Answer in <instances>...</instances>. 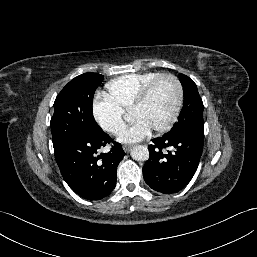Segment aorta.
<instances>
[{"instance_id":"1","label":"aorta","mask_w":257,"mask_h":257,"mask_svg":"<svg viewBox=\"0 0 257 257\" xmlns=\"http://www.w3.org/2000/svg\"><path fill=\"white\" fill-rule=\"evenodd\" d=\"M131 157L136 161H146L149 158V150L144 145H136L131 150Z\"/></svg>"}]
</instances>
